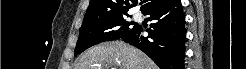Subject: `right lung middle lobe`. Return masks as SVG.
Returning a JSON list of instances; mask_svg holds the SVG:
<instances>
[{
  "mask_svg": "<svg viewBox=\"0 0 246 69\" xmlns=\"http://www.w3.org/2000/svg\"><path fill=\"white\" fill-rule=\"evenodd\" d=\"M126 16L129 17L128 14H124L113 15L100 20H83L75 48V56L93 45L120 39L128 31L134 29L137 25L127 21Z\"/></svg>",
  "mask_w": 246,
  "mask_h": 69,
  "instance_id": "right-lung-middle-lobe-1",
  "label": "right lung middle lobe"
}]
</instances>
